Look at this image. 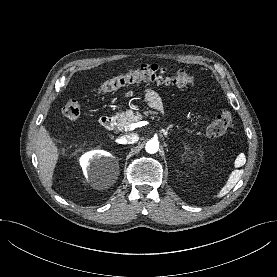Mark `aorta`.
<instances>
[{
    "instance_id": "aorta-1",
    "label": "aorta",
    "mask_w": 277,
    "mask_h": 277,
    "mask_svg": "<svg viewBox=\"0 0 277 277\" xmlns=\"http://www.w3.org/2000/svg\"><path fill=\"white\" fill-rule=\"evenodd\" d=\"M145 149L148 153H156L159 149V142L156 139H151L146 143Z\"/></svg>"
}]
</instances>
